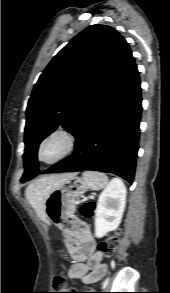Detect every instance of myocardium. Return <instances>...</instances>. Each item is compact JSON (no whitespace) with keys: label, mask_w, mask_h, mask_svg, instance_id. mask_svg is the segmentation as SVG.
Here are the masks:
<instances>
[{"label":"myocardium","mask_w":170,"mask_h":293,"mask_svg":"<svg viewBox=\"0 0 170 293\" xmlns=\"http://www.w3.org/2000/svg\"><path fill=\"white\" fill-rule=\"evenodd\" d=\"M54 139H59L62 143L61 151L54 157L46 159L42 152L47 143ZM77 140L75 135L65 128H56L47 133L37 144L35 156L40 163L51 165L58 163L69 157L76 149Z\"/></svg>","instance_id":"1"}]
</instances>
